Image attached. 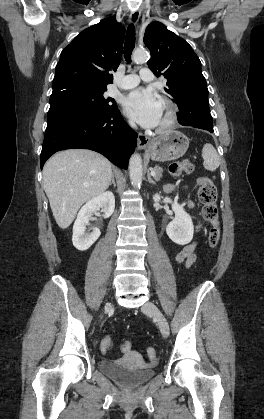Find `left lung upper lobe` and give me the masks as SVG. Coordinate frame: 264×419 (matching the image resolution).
Listing matches in <instances>:
<instances>
[{
    "instance_id": "1",
    "label": "left lung upper lobe",
    "mask_w": 264,
    "mask_h": 419,
    "mask_svg": "<svg viewBox=\"0 0 264 419\" xmlns=\"http://www.w3.org/2000/svg\"><path fill=\"white\" fill-rule=\"evenodd\" d=\"M144 44L150 49L148 67L167 79L165 91L181 106L208 98L201 62L191 46L157 21L150 23L144 34Z\"/></svg>"
}]
</instances>
